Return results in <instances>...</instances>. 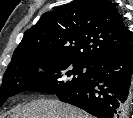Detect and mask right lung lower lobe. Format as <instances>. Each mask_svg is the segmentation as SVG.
Wrapping results in <instances>:
<instances>
[{
    "instance_id": "1",
    "label": "right lung lower lobe",
    "mask_w": 133,
    "mask_h": 118,
    "mask_svg": "<svg viewBox=\"0 0 133 118\" xmlns=\"http://www.w3.org/2000/svg\"><path fill=\"white\" fill-rule=\"evenodd\" d=\"M132 74L133 46L129 43L92 66L87 83L57 96L97 118H124L129 110Z\"/></svg>"
}]
</instances>
